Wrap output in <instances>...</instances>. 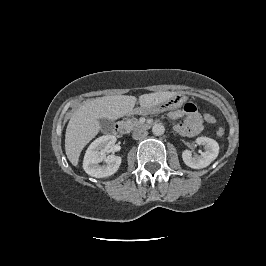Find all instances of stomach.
<instances>
[{
  "instance_id": "1",
  "label": "stomach",
  "mask_w": 266,
  "mask_h": 266,
  "mask_svg": "<svg viewBox=\"0 0 266 266\" xmlns=\"http://www.w3.org/2000/svg\"><path fill=\"white\" fill-rule=\"evenodd\" d=\"M184 96L182 95H178V96H174L162 103H159L157 105L151 106V107H147V108H141V111L143 113H162L164 111H167L169 109L172 108V105L177 104V103H182L184 101ZM174 101H176V103H174Z\"/></svg>"
}]
</instances>
